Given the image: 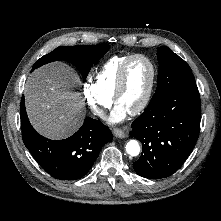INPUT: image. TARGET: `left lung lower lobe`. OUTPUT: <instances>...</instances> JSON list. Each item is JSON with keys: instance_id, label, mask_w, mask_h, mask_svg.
<instances>
[{"instance_id": "0a47b994", "label": "left lung lower lobe", "mask_w": 221, "mask_h": 221, "mask_svg": "<svg viewBox=\"0 0 221 221\" xmlns=\"http://www.w3.org/2000/svg\"><path fill=\"white\" fill-rule=\"evenodd\" d=\"M200 95L196 84L174 89L151 100L132 123L131 137L142 142V154L133 163L145 178H166L185 162L199 137Z\"/></svg>"}]
</instances>
